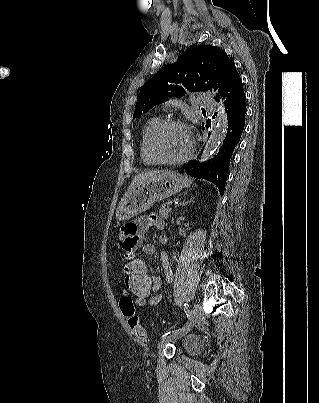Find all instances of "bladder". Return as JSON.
<instances>
[{"mask_svg": "<svg viewBox=\"0 0 319 403\" xmlns=\"http://www.w3.org/2000/svg\"><path fill=\"white\" fill-rule=\"evenodd\" d=\"M182 348L188 352H196L199 348V342L195 338H188L183 342Z\"/></svg>", "mask_w": 319, "mask_h": 403, "instance_id": "1", "label": "bladder"}]
</instances>
